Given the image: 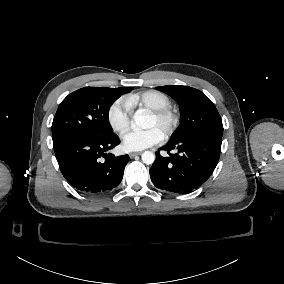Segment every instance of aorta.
Here are the masks:
<instances>
[{"label":"aorta","mask_w":284,"mask_h":284,"mask_svg":"<svg viewBox=\"0 0 284 284\" xmlns=\"http://www.w3.org/2000/svg\"><path fill=\"white\" fill-rule=\"evenodd\" d=\"M134 123L142 128L146 129L149 126V116L143 110L137 111L134 115ZM142 161L145 164H153L155 161V155L151 151H145L142 153Z\"/></svg>","instance_id":"1"}]
</instances>
